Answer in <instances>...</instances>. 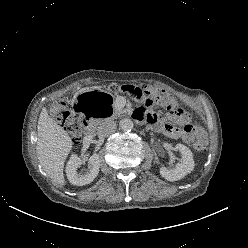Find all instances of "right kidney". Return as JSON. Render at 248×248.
Listing matches in <instances>:
<instances>
[{
  "mask_svg": "<svg viewBox=\"0 0 248 248\" xmlns=\"http://www.w3.org/2000/svg\"><path fill=\"white\" fill-rule=\"evenodd\" d=\"M81 158L73 154L66 165V175L72 185L84 186L91 183L99 173L100 159L97 154H93L88 159L89 171L78 174L77 169L82 164Z\"/></svg>",
  "mask_w": 248,
  "mask_h": 248,
  "instance_id": "right-kidney-1",
  "label": "right kidney"
}]
</instances>
